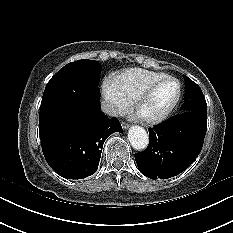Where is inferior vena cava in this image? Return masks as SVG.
<instances>
[{"instance_id":"obj_1","label":"inferior vena cava","mask_w":233,"mask_h":233,"mask_svg":"<svg viewBox=\"0 0 233 233\" xmlns=\"http://www.w3.org/2000/svg\"><path fill=\"white\" fill-rule=\"evenodd\" d=\"M101 109L105 114H107L109 116H112L116 113L115 107L110 102H108L106 100H102Z\"/></svg>"}]
</instances>
